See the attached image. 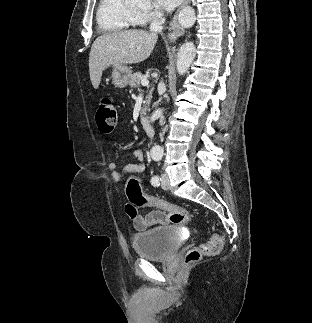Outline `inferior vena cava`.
<instances>
[{"mask_svg":"<svg viewBox=\"0 0 312 323\" xmlns=\"http://www.w3.org/2000/svg\"><path fill=\"white\" fill-rule=\"evenodd\" d=\"M165 20L163 18V14H158V20H155V22H152L150 26L151 32H155V30H163V24ZM163 86V84H162Z\"/></svg>","mask_w":312,"mask_h":323,"instance_id":"602c4592","label":"inferior vena cava"}]
</instances>
